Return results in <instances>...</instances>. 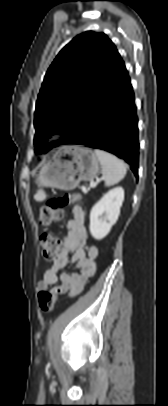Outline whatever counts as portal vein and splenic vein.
<instances>
[{"label": "portal vein and splenic vein", "mask_w": 168, "mask_h": 406, "mask_svg": "<svg viewBox=\"0 0 168 406\" xmlns=\"http://www.w3.org/2000/svg\"><path fill=\"white\" fill-rule=\"evenodd\" d=\"M96 185H97V182H90V187H91V188L96 187Z\"/></svg>", "instance_id": "obj_1"}]
</instances>
